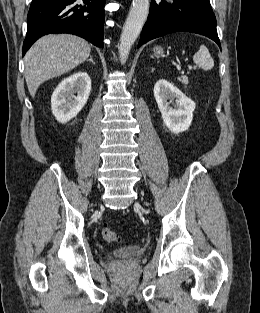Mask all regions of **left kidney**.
<instances>
[{
  "mask_svg": "<svg viewBox=\"0 0 260 313\" xmlns=\"http://www.w3.org/2000/svg\"><path fill=\"white\" fill-rule=\"evenodd\" d=\"M154 97L165 126L173 133L186 131L192 122L195 103L173 84L160 79L154 86ZM175 100L174 107L170 103Z\"/></svg>",
  "mask_w": 260,
  "mask_h": 313,
  "instance_id": "5707ae66",
  "label": "left kidney"
}]
</instances>
